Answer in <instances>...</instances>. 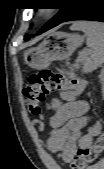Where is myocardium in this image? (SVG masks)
<instances>
[{"instance_id":"f54148a6","label":"myocardium","mask_w":104,"mask_h":169,"mask_svg":"<svg viewBox=\"0 0 104 169\" xmlns=\"http://www.w3.org/2000/svg\"><path fill=\"white\" fill-rule=\"evenodd\" d=\"M39 14L43 17H50L51 13L48 10H39Z\"/></svg>"}]
</instances>
